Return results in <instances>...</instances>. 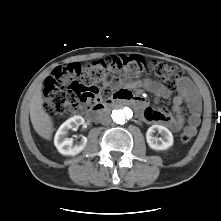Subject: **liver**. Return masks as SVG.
I'll return each mask as SVG.
<instances>
[{"label":"liver","mask_w":221,"mask_h":221,"mask_svg":"<svg viewBox=\"0 0 221 221\" xmlns=\"http://www.w3.org/2000/svg\"><path fill=\"white\" fill-rule=\"evenodd\" d=\"M42 86L38 85L30 102V119L34 130L46 140L52 138L54 131L52 118L43 107Z\"/></svg>","instance_id":"liver-1"}]
</instances>
